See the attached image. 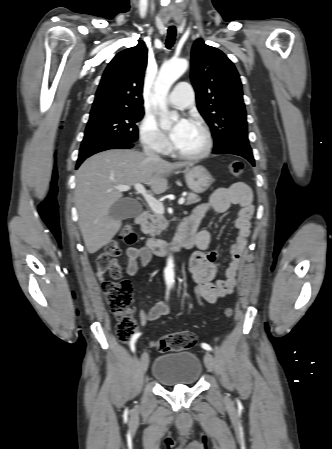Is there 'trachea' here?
Returning a JSON list of instances; mask_svg holds the SVG:
<instances>
[{
    "mask_svg": "<svg viewBox=\"0 0 332 449\" xmlns=\"http://www.w3.org/2000/svg\"><path fill=\"white\" fill-rule=\"evenodd\" d=\"M175 38H176V28L174 26H170L168 28V34L166 39L167 49H170L174 45Z\"/></svg>",
    "mask_w": 332,
    "mask_h": 449,
    "instance_id": "1",
    "label": "trachea"
}]
</instances>
